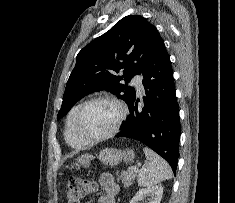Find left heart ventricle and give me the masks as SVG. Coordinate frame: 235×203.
I'll use <instances>...</instances> for the list:
<instances>
[{
	"label": "left heart ventricle",
	"instance_id": "obj_1",
	"mask_svg": "<svg viewBox=\"0 0 235 203\" xmlns=\"http://www.w3.org/2000/svg\"><path fill=\"white\" fill-rule=\"evenodd\" d=\"M119 116L118 107L107 101H98L88 105L79 119L80 132L90 138L109 132Z\"/></svg>",
	"mask_w": 235,
	"mask_h": 203
}]
</instances>
